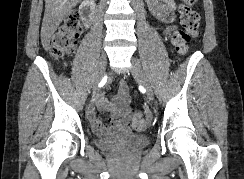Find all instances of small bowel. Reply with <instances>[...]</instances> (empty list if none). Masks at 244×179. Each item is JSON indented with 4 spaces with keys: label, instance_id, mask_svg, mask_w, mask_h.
I'll list each match as a JSON object with an SVG mask.
<instances>
[{
    "label": "small bowel",
    "instance_id": "1",
    "mask_svg": "<svg viewBox=\"0 0 244 179\" xmlns=\"http://www.w3.org/2000/svg\"><path fill=\"white\" fill-rule=\"evenodd\" d=\"M169 10H162L158 16L161 21H166ZM170 28L164 30V33H168ZM129 85L126 82L119 84L118 92L113 95L110 100L104 99L103 97L98 98V105L107 113V120L104 123L100 118L95 116L94 109H90L89 115L94 127L101 133L106 135L128 134L130 132L131 115L129 114ZM134 116H140L135 114ZM147 121L151 120L150 116L146 117ZM135 130L138 127L143 129L144 126H132Z\"/></svg>",
    "mask_w": 244,
    "mask_h": 179
}]
</instances>
